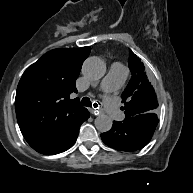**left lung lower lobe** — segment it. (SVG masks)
<instances>
[{
  "label": "left lung lower lobe",
  "instance_id": "1",
  "mask_svg": "<svg viewBox=\"0 0 193 193\" xmlns=\"http://www.w3.org/2000/svg\"><path fill=\"white\" fill-rule=\"evenodd\" d=\"M158 124L157 117L140 116L113 122L111 130L102 133L103 142L119 151L132 152L143 148L152 138Z\"/></svg>",
  "mask_w": 193,
  "mask_h": 193
}]
</instances>
